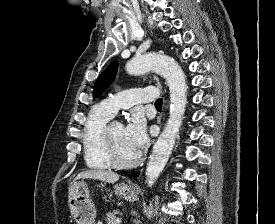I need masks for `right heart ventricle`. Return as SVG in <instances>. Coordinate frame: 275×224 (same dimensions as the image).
Segmentation results:
<instances>
[{
	"instance_id": "right-heart-ventricle-1",
	"label": "right heart ventricle",
	"mask_w": 275,
	"mask_h": 224,
	"mask_svg": "<svg viewBox=\"0 0 275 224\" xmlns=\"http://www.w3.org/2000/svg\"><path fill=\"white\" fill-rule=\"evenodd\" d=\"M111 114L102 109L101 106L94 107L83 127L82 143L86 165L95 170H107L112 167L108 162L101 144V134Z\"/></svg>"
}]
</instances>
